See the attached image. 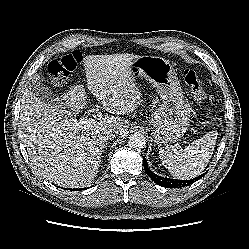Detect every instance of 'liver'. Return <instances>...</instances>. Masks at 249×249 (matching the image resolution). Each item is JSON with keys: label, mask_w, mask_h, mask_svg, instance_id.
Wrapping results in <instances>:
<instances>
[{"label": "liver", "mask_w": 249, "mask_h": 249, "mask_svg": "<svg viewBox=\"0 0 249 249\" xmlns=\"http://www.w3.org/2000/svg\"><path fill=\"white\" fill-rule=\"evenodd\" d=\"M138 57L125 53L85 57L88 89L106 111L116 115L85 127L77 126L76 119L86 101L82 85H74L62 96L72 112L48 105L25 90L20 107L21 139L37 172L46 180L69 188L94 181L107 144L103 131L115 128L125 133L129 122L121 116L142 103L136 78L129 70V64Z\"/></svg>", "instance_id": "6515ba94"}]
</instances>
